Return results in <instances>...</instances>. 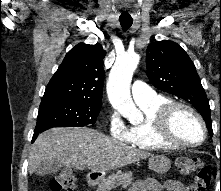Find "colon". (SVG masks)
<instances>
[{
  "label": "colon",
  "mask_w": 221,
  "mask_h": 191,
  "mask_svg": "<svg viewBox=\"0 0 221 191\" xmlns=\"http://www.w3.org/2000/svg\"><path fill=\"white\" fill-rule=\"evenodd\" d=\"M177 167L182 175H195L187 191H206L211 181V170L204 166L197 157H181L177 160ZM75 185V176L70 170H61L50 180L51 191H72Z\"/></svg>",
  "instance_id": "1"
}]
</instances>
